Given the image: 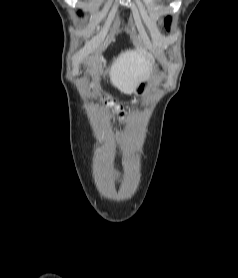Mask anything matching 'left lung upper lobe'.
Segmentation results:
<instances>
[{
  "mask_svg": "<svg viewBox=\"0 0 238 278\" xmlns=\"http://www.w3.org/2000/svg\"><path fill=\"white\" fill-rule=\"evenodd\" d=\"M169 24H170V18L168 17L165 19V26L167 29L169 28Z\"/></svg>",
  "mask_w": 238,
  "mask_h": 278,
  "instance_id": "obj_1",
  "label": "left lung upper lobe"
}]
</instances>
